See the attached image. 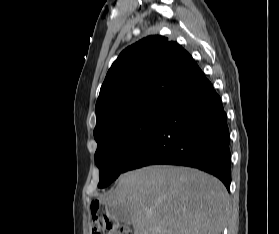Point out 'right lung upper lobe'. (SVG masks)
<instances>
[{
    "instance_id": "1",
    "label": "right lung upper lobe",
    "mask_w": 279,
    "mask_h": 234,
    "mask_svg": "<svg viewBox=\"0 0 279 234\" xmlns=\"http://www.w3.org/2000/svg\"><path fill=\"white\" fill-rule=\"evenodd\" d=\"M201 73L191 55L164 36H148L127 47L100 89L94 135L123 113L148 106L167 107Z\"/></svg>"
}]
</instances>
